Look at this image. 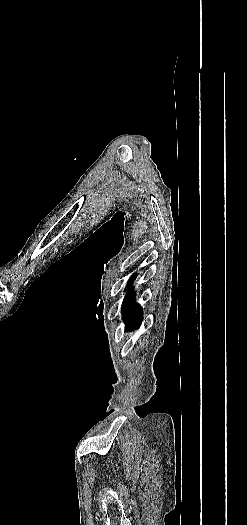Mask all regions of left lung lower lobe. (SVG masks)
<instances>
[{"instance_id":"obj_1","label":"left lung lower lobe","mask_w":247,"mask_h":525,"mask_svg":"<svg viewBox=\"0 0 247 525\" xmlns=\"http://www.w3.org/2000/svg\"><path fill=\"white\" fill-rule=\"evenodd\" d=\"M134 297L135 292L130 287L122 304L123 320L128 329L138 327L143 320L142 308L133 300Z\"/></svg>"}]
</instances>
